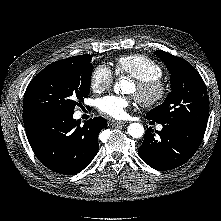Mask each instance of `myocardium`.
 Returning a JSON list of instances; mask_svg holds the SVG:
<instances>
[{"instance_id": "f54148a6", "label": "myocardium", "mask_w": 221, "mask_h": 221, "mask_svg": "<svg viewBox=\"0 0 221 221\" xmlns=\"http://www.w3.org/2000/svg\"><path fill=\"white\" fill-rule=\"evenodd\" d=\"M136 100L145 108L161 104L168 94V87L161 79L136 82Z\"/></svg>"}]
</instances>
